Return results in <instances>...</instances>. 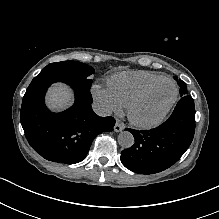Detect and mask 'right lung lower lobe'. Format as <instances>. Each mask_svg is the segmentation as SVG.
Masks as SVG:
<instances>
[{"instance_id": "98d812e1", "label": "right lung lower lobe", "mask_w": 219, "mask_h": 219, "mask_svg": "<svg viewBox=\"0 0 219 219\" xmlns=\"http://www.w3.org/2000/svg\"><path fill=\"white\" fill-rule=\"evenodd\" d=\"M54 82H64L75 91L72 107L61 112H50L44 103L45 93ZM93 102L88 88L72 78L37 75L23 97L21 124L33 149L49 161L74 164L87 155L94 138L112 131L113 117H99L91 107Z\"/></svg>"}]
</instances>
